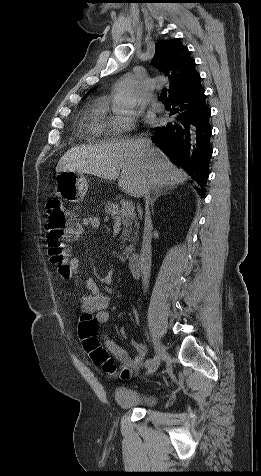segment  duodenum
<instances>
[{
  "instance_id": "duodenum-1",
  "label": "duodenum",
  "mask_w": 261,
  "mask_h": 476,
  "mask_svg": "<svg viewBox=\"0 0 261 476\" xmlns=\"http://www.w3.org/2000/svg\"><path fill=\"white\" fill-rule=\"evenodd\" d=\"M128 265L131 275L134 278H138L141 275L142 263L139 254H132L128 258Z\"/></svg>"
}]
</instances>
